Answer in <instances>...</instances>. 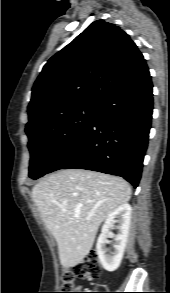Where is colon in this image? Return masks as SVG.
Returning a JSON list of instances; mask_svg holds the SVG:
<instances>
[{"label":"colon","instance_id":"5ec220e1","mask_svg":"<svg viewBox=\"0 0 170 293\" xmlns=\"http://www.w3.org/2000/svg\"><path fill=\"white\" fill-rule=\"evenodd\" d=\"M98 253L93 251L89 253L81 263L77 264L70 271L61 274V284L65 291L75 289L74 282L76 279H90L97 275L99 271ZM63 293H85V292H63Z\"/></svg>","mask_w":170,"mask_h":293}]
</instances>
